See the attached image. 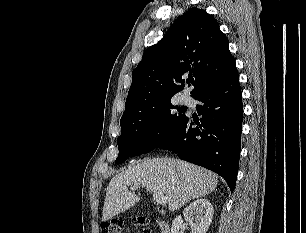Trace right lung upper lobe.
<instances>
[{
  "label": "right lung upper lobe",
  "instance_id": "1",
  "mask_svg": "<svg viewBox=\"0 0 306 233\" xmlns=\"http://www.w3.org/2000/svg\"><path fill=\"white\" fill-rule=\"evenodd\" d=\"M228 44L214 17L203 9H189L143 53L132 72L123 116L171 99L184 88L182 77L187 75L195 78L191 91L195 99L227 79L237 70Z\"/></svg>",
  "mask_w": 306,
  "mask_h": 233
}]
</instances>
